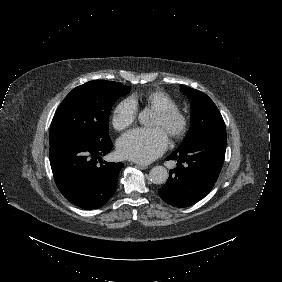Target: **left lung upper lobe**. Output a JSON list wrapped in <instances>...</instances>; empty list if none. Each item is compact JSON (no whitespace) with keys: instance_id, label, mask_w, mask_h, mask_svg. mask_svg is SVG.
<instances>
[{"instance_id":"5c2ea615","label":"left lung upper lobe","mask_w":282,"mask_h":282,"mask_svg":"<svg viewBox=\"0 0 282 282\" xmlns=\"http://www.w3.org/2000/svg\"><path fill=\"white\" fill-rule=\"evenodd\" d=\"M191 100V128L179 148L195 138L214 132H225V123L214 102L204 93L189 87L181 88Z\"/></svg>"}]
</instances>
